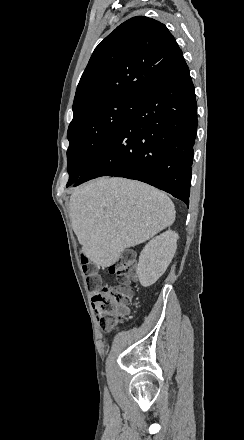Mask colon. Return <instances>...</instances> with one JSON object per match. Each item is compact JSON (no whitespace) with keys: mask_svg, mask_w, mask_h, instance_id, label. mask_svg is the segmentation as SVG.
Listing matches in <instances>:
<instances>
[{"mask_svg":"<svg viewBox=\"0 0 244 440\" xmlns=\"http://www.w3.org/2000/svg\"><path fill=\"white\" fill-rule=\"evenodd\" d=\"M121 255V260L112 266V272L119 275L122 286L113 289L108 285H103L93 297L96 303L95 311L102 312L106 317L103 321V327L110 328L113 323L124 319L131 312L130 305H126L132 296L128 283L137 272V263L133 257V248H122ZM81 269L85 271L89 285L88 292L98 290L101 279L99 275L94 273L98 269L97 262H82Z\"/></svg>","mask_w":244,"mask_h":440,"instance_id":"5ec220e1","label":"colon"}]
</instances>
